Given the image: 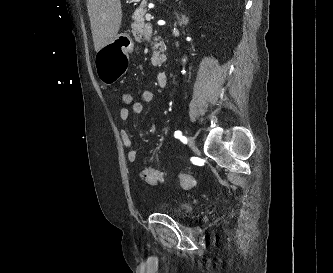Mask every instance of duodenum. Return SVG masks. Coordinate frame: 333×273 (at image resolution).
<instances>
[{
  "mask_svg": "<svg viewBox=\"0 0 333 273\" xmlns=\"http://www.w3.org/2000/svg\"><path fill=\"white\" fill-rule=\"evenodd\" d=\"M168 82V74L164 71H161L157 74V84L159 87H165Z\"/></svg>",
  "mask_w": 333,
  "mask_h": 273,
  "instance_id": "duodenum-1",
  "label": "duodenum"
}]
</instances>
